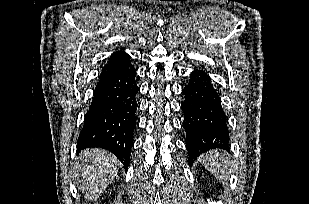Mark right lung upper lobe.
Listing matches in <instances>:
<instances>
[{"mask_svg": "<svg viewBox=\"0 0 309 204\" xmlns=\"http://www.w3.org/2000/svg\"><path fill=\"white\" fill-rule=\"evenodd\" d=\"M130 56L127 55L124 51H118L109 58L107 64L102 69L100 77L104 74L119 70L130 65Z\"/></svg>", "mask_w": 309, "mask_h": 204, "instance_id": "cb5924a9", "label": "right lung upper lobe"}]
</instances>
